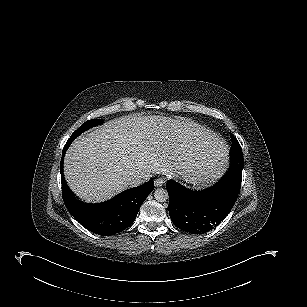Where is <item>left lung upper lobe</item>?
<instances>
[{
  "label": "left lung upper lobe",
  "instance_id": "left-lung-upper-lobe-1",
  "mask_svg": "<svg viewBox=\"0 0 307 307\" xmlns=\"http://www.w3.org/2000/svg\"><path fill=\"white\" fill-rule=\"evenodd\" d=\"M231 140H232V147H231V163H243V155H242V149L241 146L238 142V140L232 135Z\"/></svg>",
  "mask_w": 307,
  "mask_h": 307
}]
</instances>
